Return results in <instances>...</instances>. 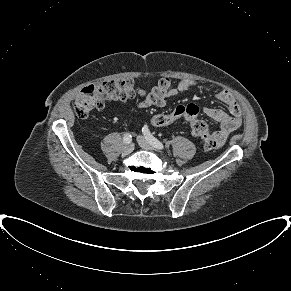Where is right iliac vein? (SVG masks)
Returning <instances> with one entry per match:
<instances>
[{
  "mask_svg": "<svg viewBox=\"0 0 291 291\" xmlns=\"http://www.w3.org/2000/svg\"><path fill=\"white\" fill-rule=\"evenodd\" d=\"M134 150V145L133 144H127L124 146L122 150L123 155H128Z\"/></svg>",
  "mask_w": 291,
  "mask_h": 291,
  "instance_id": "right-iliac-vein-1",
  "label": "right iliac vein"
}]
</instances>
